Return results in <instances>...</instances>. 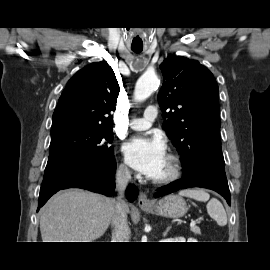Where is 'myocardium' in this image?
Listing matches in <instances>:
<instances>
[{
    "instance_id": "f54148a6",
    "label": "myocardium",
    "mask_w": 270,
    "mask_h": 270,
    "mask_svg": "<svg viewBox=\"0 0 270 270\" xmlns=\"http://www.w3.org/2000/svg\"><path fill=\"white\" fill-rule=\"evenodd\" d=\"M167 158L170 162V169L167 175L161 178H154L152 182L156 185H167L170 184L181 176L182 166L179 156L176 154L170 153L167 155Z\"/></svg>"
}]
</instances>
